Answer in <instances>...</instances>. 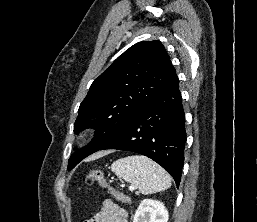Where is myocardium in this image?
Returning a JSON list of instances; mask_svg holds the SVG:
<instances>
[{
    "mask_svg": "<svg viewBox=\"0 0 257 222\" xmlns=\"http://www.w3.org/2000/svg\"><path fill=\"white\" fill-rule=\"evenodd\" d=\"M89 138V133L87 130L85 131H82L79 136H78V141L81 143V142H84L86 141L87 139Z\"/></svg>",
    "mask_w": 257,
    "mask_h": 222,
    "instance_id": "obj_1",
    "label": "myocardium"
}]
</instances>
